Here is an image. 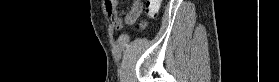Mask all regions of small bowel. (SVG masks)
I'll return each instance as SVG.
<instances>
[{
	"label": "small bowel",
	"mask_w": 279,
	"mask_h": 82,
	"mask_svg": "<svg viewBox=\"0 0 279 82\" xmlns=\"http://www.w3.org/2000/svg\"><path fill=\"white\" fill-rule=\"evenodd\" d=\"M136 9H139V11H136ZM106 10L114 27L119 30L122 29L124 25H133L141 13L139 0L134 1L131 7L124 11L118 9V3L116 1L107 0Z\"/></svg>",
	"instance_id": "1"
}]
</instances>
